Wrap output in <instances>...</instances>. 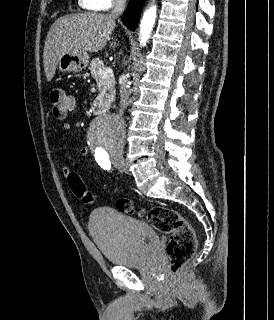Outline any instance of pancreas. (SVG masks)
<instances>
[{
	"label": "pancreas",
	"mask_w": 274,
	"mask_h": 320,
	"mask_svg": "<svg viewBox=\"0 0 274 320\" xmlns=\"http://www.w3.org/2000/svg\"><path fill=\"white\" fill-rule=\"evenodd\" d=\"M104 68L102 60H99V58H95V60H92L90 64L89 70H91V74L96 80L97 84H100L99 90L100 92H103L105 94L106 98H104L103 102V110H109L111 108V102H114L115 100V78H107V80H101V76H99V70H102Z\"/></svg>",
	"instance_id": "obj_1"
}]
</instances>
